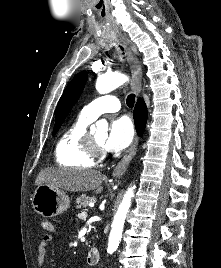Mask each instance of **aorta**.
<instances>
[{
	"instance_id": "obj_1",
	"label": "aorta",
	"mask_w": 221,
	"mask_h": 268,
	"mask_svg": "<svg viewBox=\"0 0 221 268\" xmlns=\"http://www.w3.org/2000/svg\"><path fill=\"white\" fill-rule=\"evenodd\" d=\"M127 81L128 77L121 73L101 75L97 78L96 90L100 94H106L123 85ZM96 126L100 127L102 126V123L98 122ZM134 189L135 186H131L127 189L126 193L124 194L123 200L114 216L107 249L108 253L110 254L116 251L119 246V242L122 237L125 218L131 206L132 197L134 196Z\"/></svg>"
}]
</instances>
